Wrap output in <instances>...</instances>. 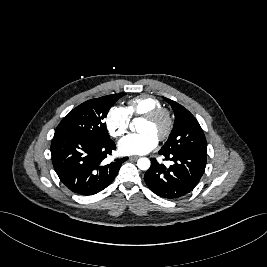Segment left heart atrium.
Instances as JSON below:
<instances>
[{
    "label": "left heart atrium",
    "instance_id": "39dd6f15",
    "mask_svg": "<svg viewBox=\"0 0 267 267\" xmlns=\"http://www.w3.org/2000/svg\"><path fill=\"white\" fill-rule=\"evenodd\" d=\"M158 138L150 133L129 134L118 144L119 151L124 155H141L153 150Z\"/></svg>",
    "mask_w": 267,
    "mask_h": 267
}]
</instances>
